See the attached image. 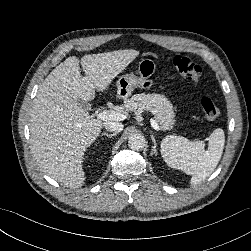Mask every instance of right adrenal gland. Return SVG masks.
<instances>
[{
  "mask_svg": "<svg viewBox=\"0 0 251 251\" xmlns=\"http://www.w3.org/2000/svg\"><path fill=\"white\" fill-rule=\"evenodd\" d=\"M116 135V133H113V134H108V133H102V136H107V137H109V138H112V137H114Z\"/></svg>",
  "mask_w": 251,
  "mask_h": 251,
  "instance_id": "1",
  "label": "right adrenal gland"
}]
</instances>
